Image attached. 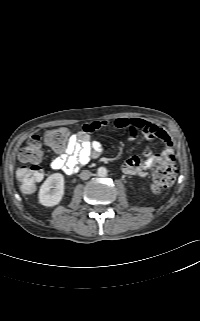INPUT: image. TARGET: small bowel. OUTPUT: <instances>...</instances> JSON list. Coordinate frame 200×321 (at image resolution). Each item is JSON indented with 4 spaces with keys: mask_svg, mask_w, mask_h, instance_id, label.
Listing matches in <instances>:
<instances>
[{
    "mask_svg": "<svg viewBox=\"0 0 200 321\" xmlns=\"http://www.w3.org/2000/svg\"><path fill=\"white\" fill-rule=\"evenodd\" d=\"M99 129L127 130L130 139L142 133L147 139H157L165 144L166 149L161 156L155 155L149 148L144 151L142 157L128 158L122 166L126 174L145 176L162 156L173 153L171 138L160 126L140 118H117L85 123L81 131L68 139L63 149L56 150L58 156L51 161V168L66 174H73L79 166L99 157L103 152V146L98 140L91 138L92 133Z\"/></svg>",
    "mask_w": 200,
    "mask_h": 321,
    "instance_id": "1",
    "label": "small bowel"
}]
</instances>
